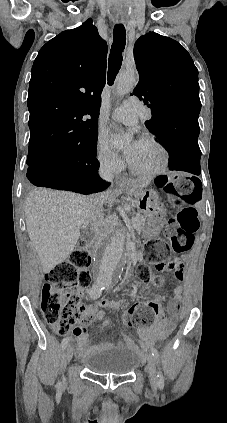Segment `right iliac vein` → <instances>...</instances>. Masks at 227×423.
Returning a JSON list of instances; mask_svg holds the SVG:
<instances>
[{
	"label": "right iliac vein",
	"instance_id": "63e3f726",
	"mask_svg": "<svg viewBox=\"0 0 227 423\" xmlns=\"http://www.w3.org/2000/svg\"><path fill=\"white\" fill-rule=\"evenodd\" d=\"M72 356H73V347L69 345L66 349V361L68 364L71 362Z\"/></svg>",
	"mask_w": 227,
	"mask_h": 423
}]
</instances>
